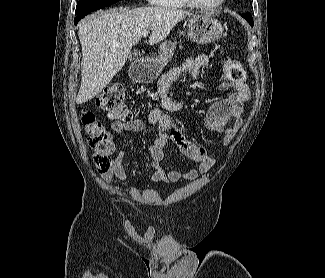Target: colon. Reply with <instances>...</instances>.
<instances>
[{"label":"colon","instance_id":"1","mask_svg":"<svg viewBox=\"0 0 325 278\" xmlns=\"http://www.w3.org/2000/svg\"><path fill=\"white\" fill-rule=\"evenodd\" d=\"M226 78L235 84H241L246 79L242 65L229 58L225 64ZM96 106L107 112L113 121L128 122L133 119L132 112L126 104V93L122 86L112 85L104 89L96 97ZM81 121L84 125L88 144L93 150V160L99 171H107L112 163V154L115 151V142L109 130L99 121L93 112L83 110Z\"/></svg>","mask_w":325,"mask_h":278}]
</instances>
